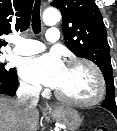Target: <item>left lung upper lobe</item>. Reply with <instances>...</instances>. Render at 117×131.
Segmentation results:
<instances>
[{
	"label": "left lung upper lobe",
	"instance_id": "obj_1",
	"mask_svg": "<svg viewBox=\"0 0 117 131\" xmlns=\"http://www.w3.org/2000/svg\"><path fill=\"white\" fill-rule=\"evenodd\" d=\"M62 13L66 46L76 55L94 62L104 74L106 98L102 107L117 111L107 32L94 0H56L51 3Z\"/></svg>",
	"mask_w": 117,
	"mask_h": 131
}]
</instances>
